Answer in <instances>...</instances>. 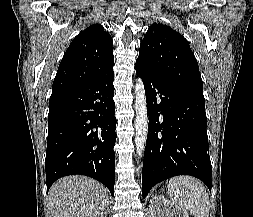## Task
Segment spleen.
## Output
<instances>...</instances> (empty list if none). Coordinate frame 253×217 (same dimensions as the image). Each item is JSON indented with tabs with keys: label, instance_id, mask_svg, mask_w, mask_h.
<instances>
[{
	"label": "spleen",
	"instance_id": "obj_1",
	"mask_svg": "<svg viewBox=\"0 0 253 217\" xmlns=\"http://www.w3.org/2000/svg\"><path fill=\"white\" fill-rule=\"evenodd\" d=\"M168 195L174 206L187 209L194 217H208L210 202L203 184L191 176H177L169 180Z\"/></svg>",
	"mask_w": 253,
	"mask_h": 217
}]
</instances>
